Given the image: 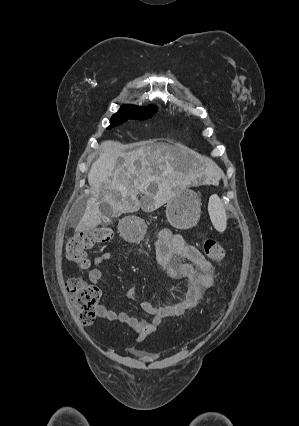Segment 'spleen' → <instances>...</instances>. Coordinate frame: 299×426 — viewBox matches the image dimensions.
Here are the masks:
<instances>
[{
	"label": "spleen",
	"mask_w": 299,
	"mask_h": 426,
	"mask_svg": "<svg viewBox=\"0 0 299 426\" xmlns=\"http://www.w3.org/2000/svg\"><path fill=\"white\" fill-rule=\"evenodd\" d=\"M208 212L214 228L218 232H224L227 225L226 210L216 194L212 195L209 199Z\"/></svg>",
	"instance_id": "3e777b00"
}]
</instances>
